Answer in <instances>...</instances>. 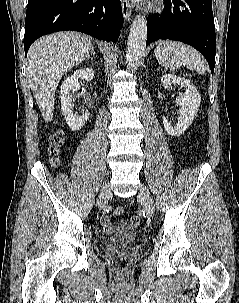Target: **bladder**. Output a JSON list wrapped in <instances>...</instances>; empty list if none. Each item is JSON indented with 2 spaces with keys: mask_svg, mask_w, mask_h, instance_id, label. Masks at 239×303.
<instances>
[{
  "mask_svg": "<svg viewBox=\"0 0 239 303\" xmlns=\"http://www.w3.org/2000/svg\"><path fill=\"white\" fill-rule=\"evenodd\" d=\"M118 239L127 243H132L137 239V234L136 233L122 234L118 237Z\"/></svg>",
  "mask_w": 239,
  "mask_h": 303,
  "instance_id": "obj_1",
  "label": "bladder"
}]
</instances>
